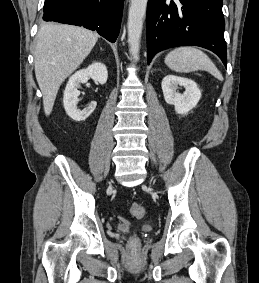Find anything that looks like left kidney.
Returning <instances> with one entry per match:
<instances>
[{"label":"left kidney","mask_w":259,"mask_h":283,"mask_svg":"<svg viewBox=\"0 0 259 283\" xmlns=\"http://www.w3.org/2000/svg\"><path fill=\"white\" fill-rule=\"evenodd\" d=\"M178 85L184 87L185 92L183 94L176 91ZM161 86L166 103L174 105L178 114H187L197 105L201 98L200 89L190 79L167 75L163 78Z\"/></svg>","instance_id":"1"}]
</instances>
